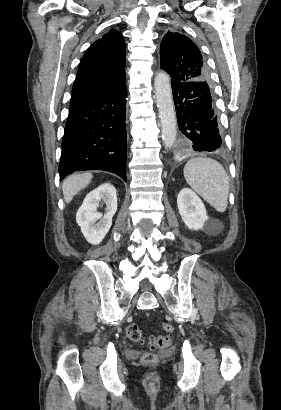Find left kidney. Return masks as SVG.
Instances as JSON below:
<instances>
[{"mask_svg": "<svg viewBox=\"0 0 281 410\" xmlns=\"http://www.w3.org/2000/svg\"><path fill=\"white\" fill-rule=\"evenodd\" d=\"M180 216L190 230H200L207 221L202 200L190 188H183L177 196Z\"/></svg>", "mask_w": 281, "mask_h": 410, "instance_id": "obj_1", "label": "left kidney"}]
</instances>
